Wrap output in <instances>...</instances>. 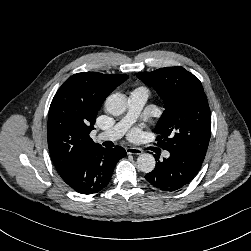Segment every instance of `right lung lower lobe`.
Masks as SVG:
<instances>
[{"mask_svg":"<svg viewBox=\"0 0 251 251\" xmlns=\"http://www.w3.org/2000/svg\"><path fill=\"white\" fill-rule=\"evenodd\" d=\"M126 156L124 148H90L61 178L73 190L82 194L96 193L110 182L116 163Z\"/></svg>","mask_w":251,"mask_h":251,"instance_id":"98d812e1","label":"right lung lower lobe"}]
</instances>
